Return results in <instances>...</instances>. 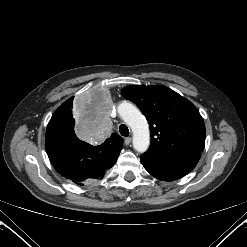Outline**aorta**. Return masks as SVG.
<instances>
[{
	"mask_svg": "<svg viewBox=\"0 0 247 247\" xmlns=\"http://www.w3.org/2000/svg\"><path fill=\"white\" fill-rule=\"evenodd\" d=\"M117 110L120 117L132 129L134 149L140 153L146 152L150 145V131L146 118L129 102L120 103Z\"/></svg>",
	"mask_w": 247,
	"mask_h": 247,
	"instance_id": "obj_1",
	"label": "aorta"
}]
</instances>
